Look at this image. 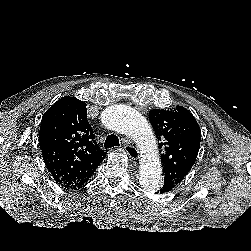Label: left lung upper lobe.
<instances>
[{"label": "left lung upper lobe", "instance_id": "left-lung-upper-lobe-1", "mask_svg": "<svg viewBox=\"0 0 251 251\" xmlns=\"http://www.w3.org/2000/svg\"><path fill=\"white\" fill-rule=\"evenodd\" d=\"M161 149L164 186L181 183L192 168L199 151L201 131L194 116L184 107L153 109L149 112Z\"/></svg>", "mask_w": 251, "mask_h": 251}]
</instances>
